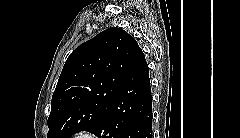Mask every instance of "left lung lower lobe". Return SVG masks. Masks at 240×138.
I'll use <instances>...</instances> for the list:
<instances>
[{
    "instance_id": "left-lung-lower-lobe-1",
    "label": "left lung lower lobe",
    "mask_w": 240,
    "mask_h": 138,
    "mask_svg": "<svg viewBox=\"0 0 240 138\" xmlns=\"http://www.w3.org/2000/svg\"><path fill=\"white\" fill-rule=\"evenodd\" d=\"M149 69L140 50L94 134L99 138H152Z\"/></svg>"
}]
</instances>
